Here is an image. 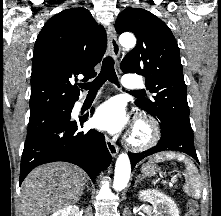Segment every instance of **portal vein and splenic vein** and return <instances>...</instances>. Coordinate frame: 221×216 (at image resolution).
Returning <instances> with one entry per match:
<instances>
[{"instance_id":"18ae733b","label":"portal vein and splenic vein","mask_w":221,"mask_h":216,"mask_svg":"<svg viewBox=\"0 0 221 216\" xmlns=\"http://www.w3.org/2000/svg\"><path fill=\"white\" fill-rule=\"evenodd\" d=\"M163 182H165V181L163 180ZM174 182H176V178L175 177L171 179V184L174 183Z\"/></svg>"}]
</instances>
